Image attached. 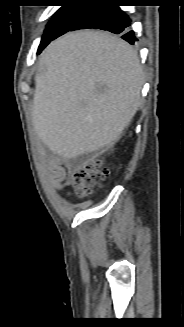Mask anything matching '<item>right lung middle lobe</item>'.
<instances>
[{
    "label": "right lung middle lobe",
    "mask_w": 184,
    "mask_h": 327,
    "mask_svg": "<svg viewBox=\"0 0 184 327\" xmlns=\"http://www.w3.org/2000/svg\"><path fill=\"white\" fill-rule=\"evenodd\" d=\"M88 8L89 6L68 5L59 9L47 24L37 53L39 54L50 41L70 31L80 21Z\"/></svg>",
    "instance_id": "dd1d6c3e"
}]
</instances>
